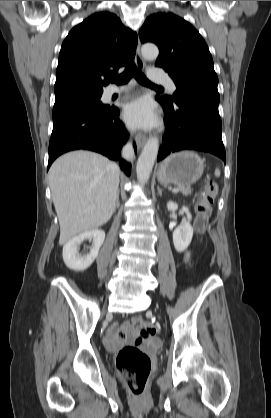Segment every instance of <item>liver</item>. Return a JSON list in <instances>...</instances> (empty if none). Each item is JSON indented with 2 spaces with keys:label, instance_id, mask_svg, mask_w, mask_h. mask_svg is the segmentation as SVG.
Instances as JSON below:
<instances>
[{
  "label": "liver",
  "instance_id": "obj_1",
  "mask_svg": "<svg viewBox=\"0 0 271 418\" xmlns=\"http://www.w3.org/2000/svg\"><path fill=\"white\" fill-rule=\"evenodd\" d=\"M120 171L114 162L90 151L58 158L49 184L59 219V244L107 223L116 207Z\"/></svg>",
  "mask_w": 271,
  "mask_h": 418
}]
</instances>
